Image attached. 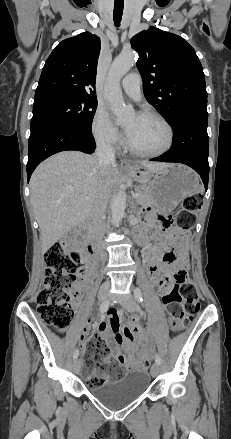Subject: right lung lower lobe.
I'll use <instances>...</instances> for the list:
<instances>
[{
    "mask_svg": "<svg viewBox=\"0 0 231 439\" xmlns=\"http://www.w3.org/2000/svg\"><path fill=\"white\" fill-rule=\"evenodd\" d=\"M96 148L91 129L73 124H58L30 135L27 163L28 182L32 172L47 157L66 150H77L87 154Z\"/></svg>",
    "mask_w": 231,
    "mask_h": 439,
    "instance_id": "right-lung-lower-lobe-1",
    "label": "right lung lower lobe"
}]
</instances>
